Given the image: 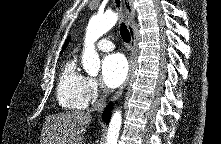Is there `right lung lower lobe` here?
<instances>
[{
  "label": "right lung lower lobe",
  "mask_w": 221,
  "mask_h": 144,
  "mask_svg": "<svg viewBox=\"0 0 221 144\" xmlns=\"http://www.w3.org/2000/svg\"><path fill=\"white\" fill-rule=\"evenodd\" d=\"M112 107H113V103L110 102L109 105L107 106V108L105 109L104 113H103V120L105 122H109V120H110V113H111Z\"/></svg>",
  "instance_id": "1"
}]
</instances>
